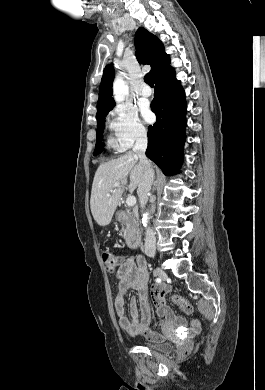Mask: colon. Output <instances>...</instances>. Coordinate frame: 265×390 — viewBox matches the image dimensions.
Instances as JSON below:
<instances>
[{
  "instance_id": "obj_1",
  "label": "colon",
  "mask_w": 265,
  "mask_h": 390,
  "mask_svg": "<svg viewBox=\"0 0 265 390\" xmlns=\"http://www.w3.org/2000/svg\"><path fill=\"white\" fill-rule=\"evenodd\" d=\"M102 260L105 265V268L108 273H114L115 269L117 267L118 261L115 257V255L109 251V250H104L102 251ZM172 301L175 305H177L183 312L190 314L193 311V307L190 304L189 301H187L185 298H183L180 295H174L172 297Z\"/></svg>"
}]
</instances>
